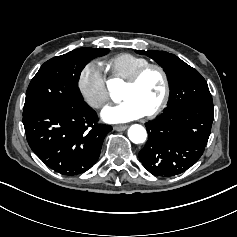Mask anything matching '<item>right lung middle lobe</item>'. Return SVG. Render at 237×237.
I'll list each match as a JSON object with an SVG mask.
<instances>
[{"label": "right lung middle lobe", "instance_id": "right-lung-middle-lobe-1", "mask_svg": "<svg viewBox=\"0 0 237 237\" xmlns=\"http://www.w3.org/2000/svg\"><path fill=\"white\" fill-rule=\"evenodd\" d=\"M108 51L83 47L46 61L28 86L23 114L53 104L83 102L77 89L80 72Z\"/></svg>", "mask_w": 237, "mask_h": 237}]
</instances>
